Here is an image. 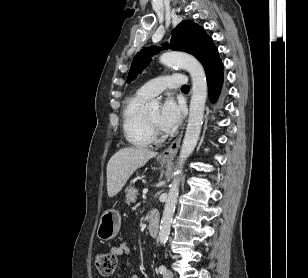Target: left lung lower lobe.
Wrapping results in <instances>:
<instances>
[{"instance_id":"obj_1","label":"left lung lower lobe","mask_w":308,"mask_h":278,"mask_svg":"<svg viewBox=\"0 0 308 278\" xmlns=\"http://www.w3.org/2000/svg\"><path fill=\"white\" fill-rule=\"evenodd\" d=\"M207 84L209 87V96L215 101L220 93L223 83V64L220 63L212 70L206 72Z\"/></svg>"}]
</instances>
